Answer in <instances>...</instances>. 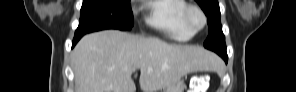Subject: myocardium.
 <instances>
[{
  "mask_svg": "<svg viewBox=\"0 0 296 92\" xmlns=\"http://www.w3.org/2000/svg\"><path fill=\"white\" fill-rule=\"evenodd\" d=\"M197 13L201 17L200 25H194L192 21V14ZM184 23L186 27L193 33H198L204 29L207 24V17L204 11L196 5H188L184 13Z\"/></svg>",
  "mask_w": 296,
  "mask_h": 92,
  "instance_id": "f54148a6",
  "label": "myocardium"
}]
</instances>
